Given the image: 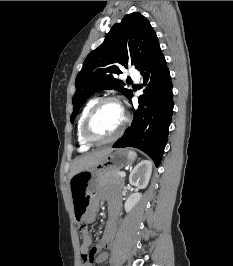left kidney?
Listing matches in <instances>:
<instances>
[{
	"label": "left kidney",
	"instance_id": "1",
	"mask_svg": "<svg viewBox=\"0 0 233 266\" xmlns=\"http://www.w3.org/2000/svg\"><path fill=\"white\" fill-rule=\"evenodd\" d=\"M151 172L152 163L148 160H143L131 171L129 183L139 189H144L149 183ZM140 198V193H133L130 195L124 205L125 211L130 212L132 208L139 202Z\"/></svg>",
	"mask_w": 233,
	"mask_h": 266
}]
</instances>
